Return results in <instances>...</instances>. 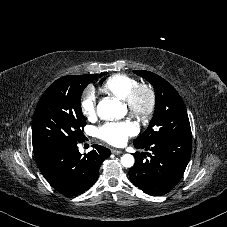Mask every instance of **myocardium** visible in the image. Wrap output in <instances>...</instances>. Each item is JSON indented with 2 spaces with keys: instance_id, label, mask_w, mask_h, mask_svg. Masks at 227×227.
Here are the masks:
<instances>
[{
  "instance_id": "f54148a6",
  "label": "myocardium",
  "mask_w": 227,
  "mask_h": 227,
  "mask_svg": "<svg viewBox=\"0 0 227 227\" xmlns=\"http://www.w3.org/2000/svg\"><path fill=\"white\" fill-rule=\"evenodd\" d=\"M123 105L134 119L144 122L155 110V91L151 85L139 83L129 91L127 97L123 100Z\"/></svg>"
}]
</instances>
